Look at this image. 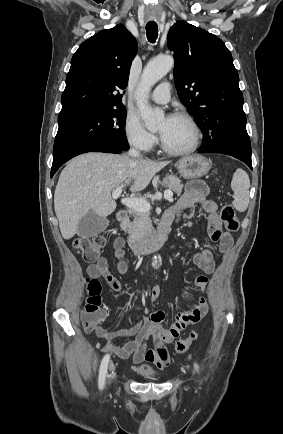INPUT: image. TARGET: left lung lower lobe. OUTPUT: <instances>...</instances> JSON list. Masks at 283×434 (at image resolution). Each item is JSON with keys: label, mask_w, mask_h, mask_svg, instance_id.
I'll return each instance as SVG.
<instances>
[{"label": "left lung lower lobe", "mask_w": 283, "mask_h": 434, "mask_svg": "<svg viewBox=\"0 0 283 434\" xmlns=\"http://www.w3.org/2000/svg\"><path fill=\"white\" fill-rule=\"evenodd\" d=\"M199 153H211L207 150L201 149ZM241 161H243L250 169H252L251 157H238Z\"/></svg>", "instance_id": "left-lung-lower-lobe-1"}]
</instances>
